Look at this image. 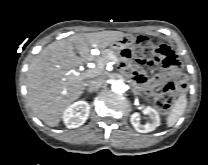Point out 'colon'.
<instances>
[{
	"label": "colon",
	"instance_id": "5ec220e1",
	"mask_svg": "<svg viewBox=\"0 0 208 165\" xmlns=\"http://www.w3.org/2000/svg\"><path fill=\"white\" fill-rule=\"evenodd\" d=\"M134 58L152 66H163L166 69L177 70L180 67V61L175 53L167 45H155L150 39L139 36L134 47ZM184 88V83L167 81L159 85L155 107L162 113L171 110L175 100L176 93Z\"/></svg>",
	"mask_w": 208,
	"mask_h": 165
}]
</instances>
